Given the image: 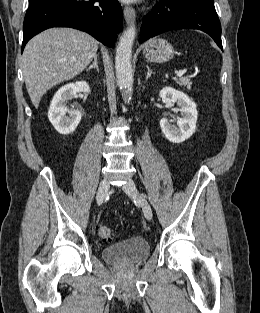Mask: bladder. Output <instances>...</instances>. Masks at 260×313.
I'll return each instance as SVG.
<instances>
[{
	"mask_svg": "<svg viewBox=\"0 0 260 313\" xmlns=\"http://www.w3.org/2000/svg\"><path fill=\"white\" fill-rule=\"evenodd\" d=\"M101 255L108 262L135 265L150 255V245L146 239L140 236H131L105 247Z\"/></svg>",
	"mask_w": 260,
	"mask_h": 313,
	"instance_id": "1",
	"label": "bladder"
}]
</instances>
